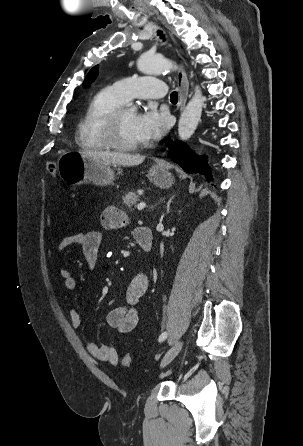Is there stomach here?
Masks as SVG:
<instances>
[{
    "instance_id": "1",
    "label": "stomach",
    "mask_w": 303,
    "mask_h": 446,
    "mask_svg": "<svg viewBox=\"0 0 303 446\" xmlns=\"http://www.w3.org/2000/svg\"><path fill=\"white\" fill-rule=\"evenodd\" d=\"M57 168L60 178L73 186L86 182L105 186L115 180L111 165L94 161L75 152L63 153L58 159ZM147 176L162 189L170 188L174 184L173 175L164 167H152Z\"/></svg>"
}]
</instances>
